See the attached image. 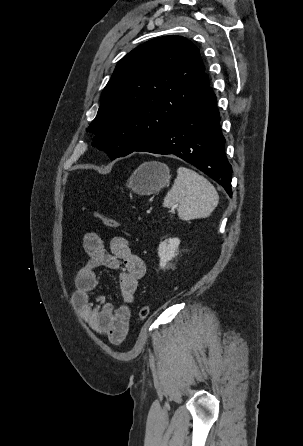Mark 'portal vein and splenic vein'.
Segmentation results:
<instances>
[{
	"label": "portal vein and splenic vein",
	"instance_id": "18ae733b",
	"mask_svg": "<svg viewBox=\"0 0 303 446\" xmlns=\"http://www.w3.org/2000/svg\"><path fill=\"white\" fill-rule=\"evenodd\" d=\"M177 208V205H174L173 207H172V211L174 210V209H176Z\"/></svg>",
	"mask_w": 303,
	"mask_h": 446
}]
</instances>
